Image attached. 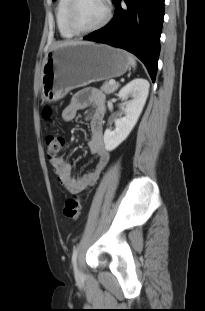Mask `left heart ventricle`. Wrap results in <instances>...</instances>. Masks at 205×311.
Instances as JSON below:
<instances>
[{"label":"left heart ventricle","instance_id":"1","mask_svg":"<svg viewBox=\"0 0 205 311\" xmlns=\"http://www.w3.org/2000/svg\"><path fill=\"white\" fill-rule=\"evenodd\" d=\"M106 14L102 0H78L74 20L81 29H88L99 24Z\"/></svg>","mask_w":205,"mask_h":311}]
</instances>
